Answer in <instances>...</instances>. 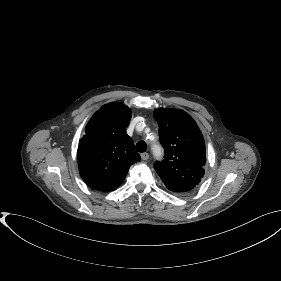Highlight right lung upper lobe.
<instances>
[{
	"mask_svg": "<svg viewBox=\"0 0 281 281\" xmlns=\"http://www.w3.org/2000/svg\"><path fill=\"white\" fill-rule=\"evenodd\" d=\"M132 111L112 102L90 119L78 147L79 172L87 185L109 192L122 184L130 166L140 161L134 142L126 133Z\"/></svg>",
	"mask_w": 281,
	"mask_h": 281,
	"instance_id": "right-lung-upper-lobe-1",
	"label": "right lung upper lobe"
}]
</instances>
